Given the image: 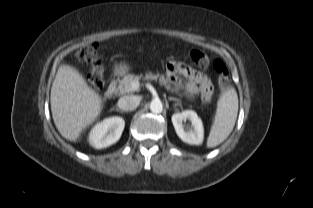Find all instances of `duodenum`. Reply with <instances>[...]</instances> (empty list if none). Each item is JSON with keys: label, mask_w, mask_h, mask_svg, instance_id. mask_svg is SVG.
Here are the masks:
<instances>
[{"label": "duodenum", "mask_w": 313, "mask_h": 208, "mask_svg": "<svg viewBox=\"0 0 313 208\" xmlns=\"http://www.w3.org/2000/svg\"><path fill=\"white\" fill-rule=\"evenodd\" d=\"M115 91H116V83H115L114 80H112V81L109 83V85H108V87H107V89H106V91H105V94H106L107 97L110 98V97L113 96V94L115 93Z\"/></svg>", "instance_id": "obj_1"}]
</instances>
